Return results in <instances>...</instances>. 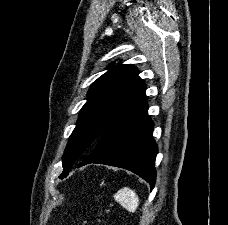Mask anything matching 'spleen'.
<instances>
[{
  "mask_svg": "<svg viewBox=\"0 0 228 225\" xmlns=\"http://www.w3.org/2000/svg\"><path fill=\"white\" fill-rule=\"evenodd\" d=\"M114 199L117 203H120L126 211H129V213H135L140 203L137 193L132 191V189H128V187H124V189L118 191V193L114 195Z\"/></svg>",
  "mask_w": 228,
  "mask_h": 225,
  "instance_id": "obj_1",
  "label": "spleen"
}]
</instances>
